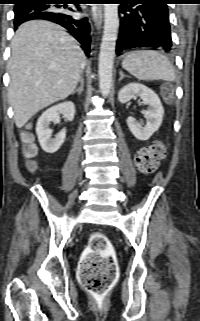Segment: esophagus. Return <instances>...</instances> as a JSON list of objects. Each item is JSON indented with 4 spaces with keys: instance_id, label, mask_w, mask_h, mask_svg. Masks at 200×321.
<instances>
[{
    "instance_id": "esophagus-1",
    "label": "esophagus",
    "mask_w": 200,
    "mask_h": 321,
    "mask_svg": "<svg viewBox=\"0 0 200 321\" xmlns=\"http://www.w3.org/2000/svg\"><path fill=\"white\" fill-rule=\"evenodd\" d=\"M92 15L96 21L97 28H100L102 23V16H103L102 7L101 6L94 7L92 9Z\"/></svg>"
}]
</instances>
